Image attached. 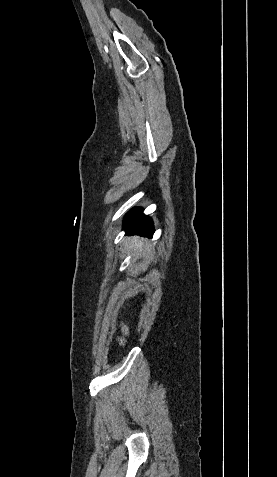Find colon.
<instances>
[{"label": "colon", "instance_id": "colon-1", "mask_svg": "<svg viewBox=\"0 0 277 477\" xmlns=\"http://www.w3.org/2000/svg\"><path fill=\"white\" fill-rule=\"evenodd\" d=\"M128 301V298L127 297H124L123 300H120L119 301V304L121 305L119 308L122 310L124 307L122 306L124 304V302H127ZM118 323L119 324H122L123 323V320L122 319H119L118 320ZM128 334V329L124 326L123 328V336L120 337L119 339V342L121 344H123L125 342V336Z\"/></svg>", "mask_w": 277, "mask_h": 477}]
</instances>
